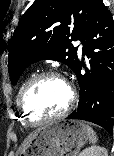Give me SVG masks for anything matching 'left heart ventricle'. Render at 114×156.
I'll return each instance as SVG.
<instances>
[{
  "label": "left heart ventricle",
  "mask_w": 114,
  "mask_h": 156,
  "mask_svg": "<svg viewBox=\"0 0 114 156\" xmlns=\"http://www.w3.org/2000/svg\"><path fill=\"white\" fill-rule=\"evenodd\" d=\"M68 99V88L61 79L45 78L28 90L23 104L32 119H40L61 112Z\"/></svg>",
  "instance_id": "obj_1"
}]
</instances>
